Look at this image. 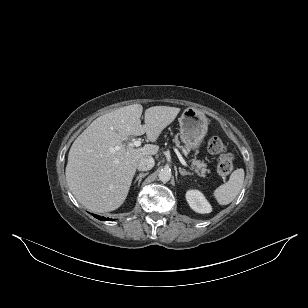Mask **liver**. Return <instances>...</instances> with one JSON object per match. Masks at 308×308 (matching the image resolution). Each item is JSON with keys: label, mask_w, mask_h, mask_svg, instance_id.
<instances>
[{"label": "liver", "mask_w": 308, "mask_h": 308, "mask_svg": "<svg viewBox=\"0 0 308 308\" xmlns=\"http://www.w3.org/2000/svg\"><path fill=\"white\" fill-rule=\"evenodd\" d=\"M133 104L95 119L73 142L66 166V180L75 198L93 212H109L125 201L139 160L156 155L159 146L134 148L125 143L129 136L146 134L155 142L171 124L180 108L153 106L145 110Z\"/></svg>", "instance_id": "obj_1"}]
</instances>
